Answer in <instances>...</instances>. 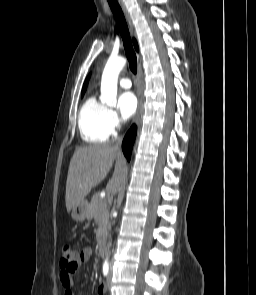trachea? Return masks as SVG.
Listing matches in <instances>:
<instances>
[{"mask_svg": "<svg viewBox=\"0 0 256 295\" xmlns=\"http://www.w3.org/2000/svg\"><path fill=\"white\" fill-rule=\"evenodd\" d=\"M108 3L120 30V34L123 40V45L126 52V56L128 58L130 70L134 74H136L137 58L133 50V46H132V42H131V38H130V34H129V30H128V26H127L124 14L117 0H108Z\"/></svg>", "mask_w": 256, "mask_h": 295, "instance_id": "trachea-1", "label": "trachea"}]
</instances>
